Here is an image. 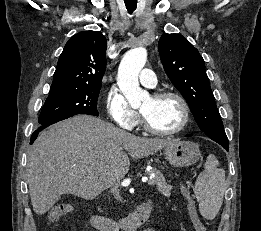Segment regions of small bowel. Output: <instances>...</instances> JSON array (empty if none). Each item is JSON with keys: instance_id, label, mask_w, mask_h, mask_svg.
Listing matches in <instances>:
<instances>
[{"instance_id": "c3829d8e", "label": "small bowel", "mask_w": 261, "mask_h": 231, "mask_svg": "<svg viewBox=\"0 0 261 231\" xmlns=\"http://www.w3.org/2000/svg\"><path fill=\"white\" fill-rule=\"evenodd\" d=\"M182 194H183L186 198L189 197V193H188V191H187L185 188H182ZM144 231H155V230H153V229H145Z\"/></svg>"}]
</instances>
